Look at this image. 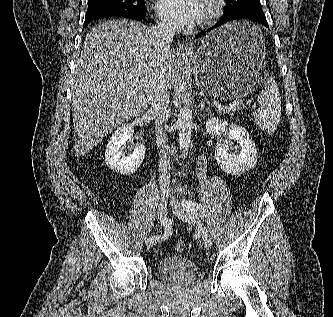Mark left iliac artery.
<instances>
[{"label": "left iliac artery", "mask_w": 333, "mask_h": 317, "mask_svg": "<svg viewBox=\"0 0 333 317\" xmlns=\"http://www.w3.org/2000/svg\"><path fill=\"white\" fill-rule=\"evenodd\" d=\"M188 205H189L191 211H193L197 215L204 216V214H205L204 206H202L201 204H199L197 202H193V201H189Z\"/></svg>", "instance_id": "obj_1"}]
</instances>
